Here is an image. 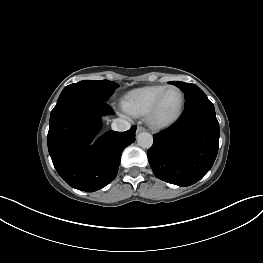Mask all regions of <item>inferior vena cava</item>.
<instances>
[{"mask_svg": "<svg viewBox=\"0 0 263 263\" xmlns=\"http://www.w3.org/2000/svg\"><path fill=\"white\" fill-rule=\"evenodd\" d=\"M111 127L114 131L124 132L129 130L131 125L127 120L117 118L113 121Z\"/></svg>", "mask_w": 263, "mask_h": 263, "instance_id": "1", "label": "inferior vena cava"}]
</instances>
